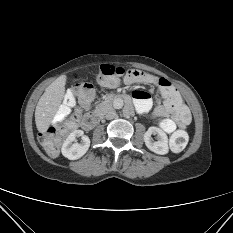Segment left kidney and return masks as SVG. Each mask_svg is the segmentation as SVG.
I'll use <instances>...</instances> for the list:
<instances>
[{"instance_id": "obj_1", "label": "left kidney", "mask_w": 233, "mask_h": 233, "mask_svg": "<svg viewBox=\"0 0 233 233\" xmlns=\"http://www.w3.org/2000/svg\"><path fill=\"white\" fill-rule=\"evenodd\" d=\"M152 134H157L159 140L154 141L151 138ZM144 142L147 148L156 154L164 155L169 151L168 137L166 133L158 127L152 126L148 128L144 134Z\"/></svg>"}]
</instances>
